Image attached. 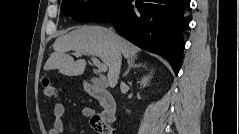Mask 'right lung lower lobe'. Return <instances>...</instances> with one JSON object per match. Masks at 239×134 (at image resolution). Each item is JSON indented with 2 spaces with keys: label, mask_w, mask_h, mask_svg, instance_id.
I'll list each match as a JSON object with an SVG mask.
<instances>
[{
  "label": "right lung lower lobe",
  "mask_w": 239,
  "mask_h": 134,
  "mask_svg": "<svg viewBox=\"0 0 239 134\" xmlns=\"http://www.w3.org/2000/svg\"><path fill=\"white\" fill-rule=\"evenodd\" d=\"M120 0L112 9L93 19L110 22L116 31L149 52L163 56L177 75L184 50L183 29L188 22L183 11L187 0Z\"/></svg>",
  "instance_id": "1"
}]
</instances>
